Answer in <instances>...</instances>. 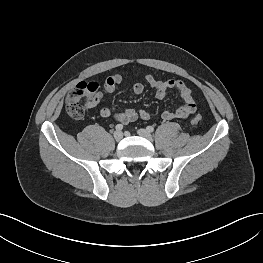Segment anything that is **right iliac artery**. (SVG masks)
<instances>
[{"label": "right iliac artery", "mask_w": 263, "mask_h": 263, "mask_svg": "<svg viewBox=\"0 0 263 263\" xmlns=\"http://www.w3.org/2000/svg\"><path fill=\"white\" fill-rule=\"evenodd\" d=\"M115 129H116L117 131H121V130L123 129V125H122V124H117V125L115 126Z\"/></svg>", "instance_id": "82829eb1"}]
</instances>
